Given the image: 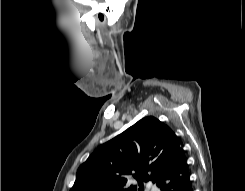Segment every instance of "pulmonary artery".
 <instances>
[{
  "instance_id": "obj_1",
  "label": "pulmonary artery",
  "mask_w": 245,
  "mask_h": 191,
  "mask_svg": "<svg viewBox=\"0 0 245 191\" xmlns=\"http://www.w3.org/2000/svg\"><path fill=\"white\" fill-rule=\"evenodd\" d=\"M147 186H148L152 191H159L158 186H157L155 183L151 182V181L147 184Z\"/></svg>"
}]
</instances>
